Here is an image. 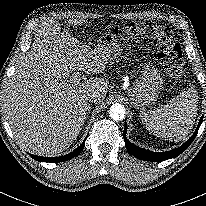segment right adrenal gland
<instances>
[{
	"mask_svg": "<svg viewBox=\"0 0 206 206\" xmlns=\"http://www.w3.org/2000/svg\"><path fill=\"white\" fill-rule=\"evenodd\" d=\"M90 109H91V105L89 104V105H88L87 117H88V115L90 114Z\"/></svg>",
	"mask_w": 206,
	"mask_h": 206,
	"instance_id": "right-adrenal-gland-1",
	"label": "right adrenal gland"
}]
</instances>
